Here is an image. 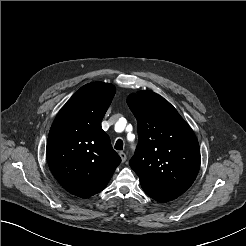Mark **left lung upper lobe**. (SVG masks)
I'll return each mask as SVG.
<instances>
[{"label":"left lung upper lobe","instance_id":"1","mask_svg":"<svg viewBox=\"0 0 246 246\" xmlns=\"http://www.w3.org/2000/svg\"><path fill=\"white\" fill-rule=\"evenodd\" d=\"M127 103L138 123V146L129 165L141 184L180 196L200 169L194 132L169 102L152 91L131 94Z\"/></svg>","mask_w":246,"mask_h":246}]
</instances>
